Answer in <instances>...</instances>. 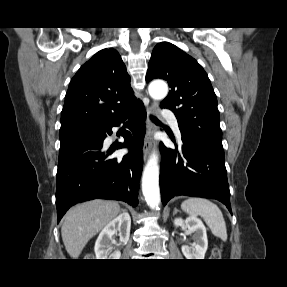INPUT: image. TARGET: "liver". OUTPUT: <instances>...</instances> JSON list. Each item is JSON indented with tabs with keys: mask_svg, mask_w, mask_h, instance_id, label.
<instances>
[{
	"mask_svg": "<svg viewBox=\"0 0 287 287\" xmlns=\"http://www.w3.org/2000/svg\"><path fill=\"white\" fill-rule=\"evenodd\" d=\"M120 213L117 202L93 200L71 208L64 216L61 235L68 254L77 259L87 242Z\"/></svg>",
	"mask_w": 287,
	"mask_h": 287,
	"instance_id": "6515ba94",
	"label": "liver"
}]
</instances>
